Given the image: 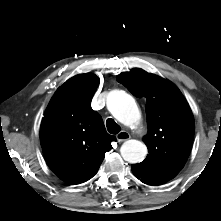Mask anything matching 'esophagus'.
<instances>
[{
    "label": "esophagus",
    "instance_id": "34e87169",
    "mask_svg": "<svg viewBox=\"0 0 221 221\" xmlns=\"http://www.w3.org/2000/svg\"><path fill=\"white\" fill-rule=\"evenodd\" d=\"M116 139L118 142H124L130 139V134L127 131H121L116 135Z\"/></svg>",
    "mask_w": 221,
    "mask_h": 221
}]
</instances>
